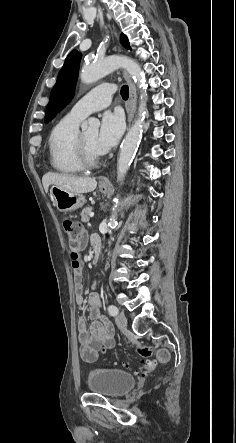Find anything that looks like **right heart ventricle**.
<instances>
[{
    "instance_id": "e07e8e85",
    "label": "right heart ventricle",
    "mask_w": 236,
    "mask_h": 443,
    "mask_svg": "<svg viewBox=\"0 0 236 443\" xmlns=\"http://www.w3.org/2000/svg\"><path fill=\"white\" fill-rule=\"evenodd\" d=\"M81 120L82 118L69 113L50 132L48 139L49 159L52 168L58 172L76 174L83 169L76 153V139Z\"/></svg>"
}]
</instances>
